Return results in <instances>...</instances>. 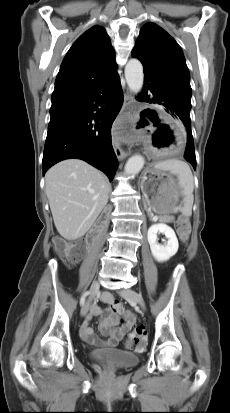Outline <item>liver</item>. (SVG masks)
I'll return each mask as SVG.
<instances>
[{"label":"liver","mask_w":230,"mask_h":413,"mask_svg":"<svg viewBox=\"0 0 230 413\" xmlns=\"http://www.w3.org/2000/svg\"><path fill=\"white\" fill-rule=\"evenodd\" d=\"M46 195L55 227L66 240L85 235L108 202L109 183L99 170L68 159L45 175Z\"/></svg>","instance_id":"6515ba94"}]
</instances>
